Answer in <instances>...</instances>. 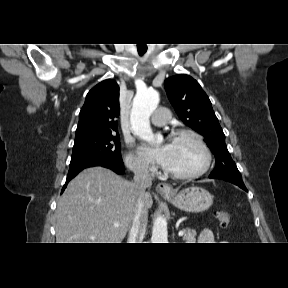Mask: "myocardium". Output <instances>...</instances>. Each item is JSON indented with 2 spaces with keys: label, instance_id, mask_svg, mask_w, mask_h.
I'll use <instances>...</instances> for the list:
<instances>
[{
  "label": "myocardium",
  "instance_id": "myocardium-1",
  "mask_svg": "<svg viewBox=\"0 0 288 288\" xmlns=\"http://www.w3.org/2000/svg\"><path fill=\"white\" fill-rule=\"evenodd\" d=\"M182 137H189L191 138L202 150L204 156V163L203 165L192 172H175L170 171L166 168H163V171L166 175L176 178V179H194L204 175L210 168L212 163V154L211 150L208 147L207 143L203 139V137L196 131L192 129H178L170 133V139H177Z\"/></svg>",
  "mask_w": 288,
  "mask_h": 288
}]
</instances>
